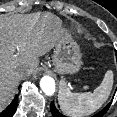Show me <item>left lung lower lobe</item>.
<instances>
[{
	"label": "left lung lower lobe",
	"instance_id": "1",
	"mask_svg": "<svg viewBox=\"0 0 117 117\" xmlns=\"http://www.w3.org/2000/svg\"><path fill=\"white\" fill-rule=\"evenodd\" d=\"M110 105H111V102L104 109H102L100 112H98L97 114L93 115L92 117H102L108 111ZM50 110H51V113H52L53 117H65L64 115L59 113V111L56 109V107H55L53 102L51 103Z\"/></svg>",
	"mask_w": 117,
	"mask_h": 117
}]
</instances>
